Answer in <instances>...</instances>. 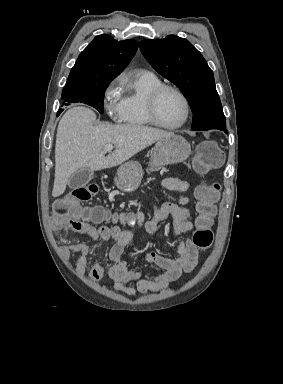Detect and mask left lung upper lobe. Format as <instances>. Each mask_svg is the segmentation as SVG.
<instances>
[{"mask_svg": "<svg viewBox=\"0 0 283 384\" xmlns=\"http://www.w3.org/2000/svg\"><path fill=\"white\" fill-rule=\"evenodd\" d=\"M140 49L151 66L177 85L188 99L193 112L192 130L225 127L213 72L189 41L169 35L161 40H143Z\"/></svg>", "mask_w": 283, "mask_h": 384, "instance_id": "1", "label": "left lung upper lobe"}]
</instances>
